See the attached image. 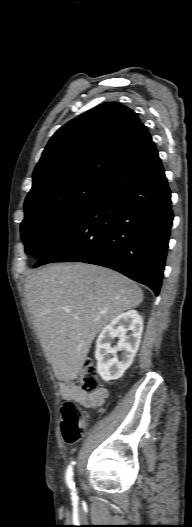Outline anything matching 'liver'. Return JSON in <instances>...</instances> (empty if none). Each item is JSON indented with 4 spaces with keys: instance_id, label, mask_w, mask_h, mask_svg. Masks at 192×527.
<instances>
[{
    "instance_id": "obj_1",
    "label": "liver",
    "mask_w": 192,
    "mask_h": 527,
    "mask_svg": "<svg viewBox=\"0 0 192 527\" xmlns=\"http://www.w3.org/2000/svg\"><path fill=\"white\" fill-rule=\"evenodd\" d=\"M27 306L54 374L70 381L81 372L95 336L143 301L140 287L108 268L53 264L25 281Z\"/></svg>"
}]
</instances>
